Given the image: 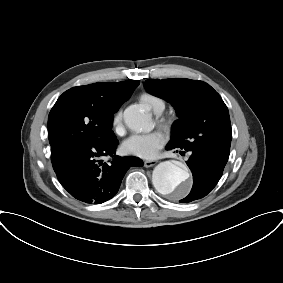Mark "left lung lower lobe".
Instances as JSON below:
<instances>
[{
	"label": "left lung lower lobe",
	"mask_w": 283,
	"mask_h": 283,
	"mask_svg": "<svg viewBox=\"0 0 283 283\" xmlns=\"http://www.w3.org/2000/svg\"><path fill=\"white\" fill-rule=\"evenodd\" d=\"M167 150L174 149L187 151L190 158L186 162L192 171L193 187L190 194L181 200V202H191L206 196L217 184L222 176L223 169L227 163L226 155L214 156L197 148L176 146L168 144Z\"/></svg>",
	"instance_id": "1"
}]
</instances>
